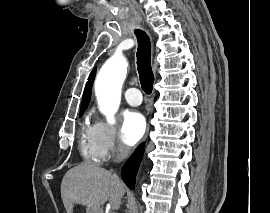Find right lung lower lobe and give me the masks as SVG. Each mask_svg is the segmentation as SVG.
Here are the masks:
<instances>
[{
  "label": "right lung lower lobe",
  "instance_id": "1",
  "mask_svg": "<svg viewBox=\"0 0 270 213\" xmlns=\"http://www.w3.org/2000/svg\"><path fill=\"white\" fill-rule=\"evenodd\" d=\"M143 146L141 145L135 153L128 159L122 169V177L126 185L133 189L135 184V176L139 168L143 156Z\"/></svg>",
  "mask_w": 270,
  "mask_h": 213
}]
</instances>
